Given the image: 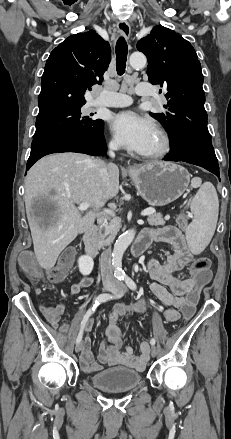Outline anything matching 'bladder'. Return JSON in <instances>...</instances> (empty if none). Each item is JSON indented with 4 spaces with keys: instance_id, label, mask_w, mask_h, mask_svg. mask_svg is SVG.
Segmentation results:
<instances>
[{
    "instance_id": "1",
    "label": "bladder",
    "mask_w": 231,
    "mask_h": 439,
    "mask_svg": "<svg viewBox=\"0 0 231 439\" xmlns=\"http://www.w3.org/2000/svg\"><path fill=\"white\" fill-rule=\"evenodd\" d=\"M141 374L126 367H115L100 371L90 377L91 384L101 390L124 391L141 383Z\"/></svg>"
}]
</instances>
